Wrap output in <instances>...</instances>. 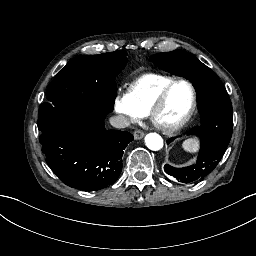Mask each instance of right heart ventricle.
I'll return each mask as SVG.
<instances>
[{"label":"right heart ventricle","mask_w":256,"mask_h":256,"mask_svg":"<svg viewBox=\"0 0 256 256\" xmlns=\"http://www.w3.org/2000/svg\"><path fill=\"white\" fill-rule=\"evenodd\" d=\"M151 77V76H150ZM175 78L172 76L154 77V81L133 89L132 98H137L143 105L153 102L159 93L168 86Z\"/></svg>","instance_id":"1"}]
</instances>
